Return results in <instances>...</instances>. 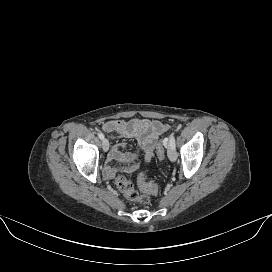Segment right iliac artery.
<instances>
[{"instance_id": "right-iliac-artery-1", "label": "right iliac artery", "mask_w": 272, "mask_h": 272, "mask_svg": "<svg viewBox=\"0 0 272 272\" xmlns=\"http://www.w3.org/2000/svg\"><path fill=\"white\" fill-rule=\"evenodd\" d=\"M98 137H99L101 140L104 139V135H103L102 133H99V134H98Z\"/></svg>"}]
</instances>
